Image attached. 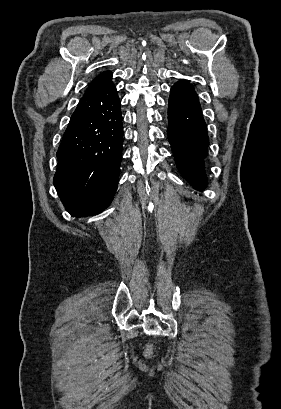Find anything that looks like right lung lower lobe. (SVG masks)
I'll return each mask as SVG.
<instances>
[{"label":"right lung lower lobe","mask_w":281,"mask_h":409,"mask_svg":"<svg viewBox=\"0 0 281 409\" xmlns=\"http://www.w3.org/2000/svg\"><path fill=\"white\" fill-rule=\"evenodd\" d=\"M111 78L108 71L90 83L57 151L54 185L75 217L99 214L117 189L123 129L121 103Z\"/></svg>","instance_id":"1"}]
</instances>
